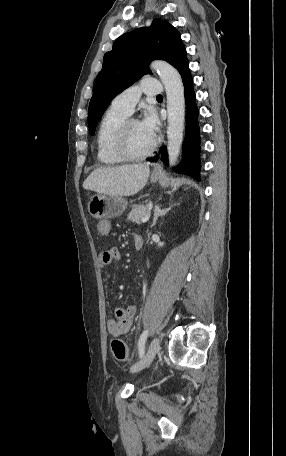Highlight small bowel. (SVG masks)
<instances>
[{"label": "small bowel", "mask_w": 286, "mask_h": 456, "mask_svg": "<svg viewBox=\"0 0 286 456\" xmlns=\"http://www.w3.org/2000/svg\"><path fill=\"white\" fill-rule=\"evenodd\" d=\"M112 225L108 220H101L97 225L98 232L107 236L111 233ZM121 259V253L118 248L112 247L103 250L99 255V265L103 273H106L107 268L112 263L118 262ZM137 312L135 305L127 307H117L114 310V318L107 321V331L112 336H120L130 331L132 321Z\"/></svg>", "instance_id": "c3829d8e"}]
</instances>
